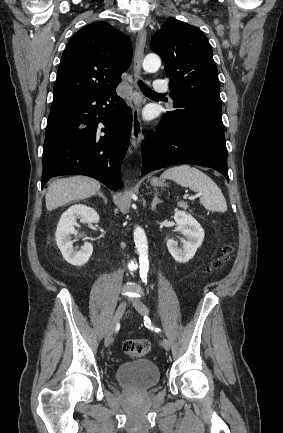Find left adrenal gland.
<instances>
[{"mask_svg":"<svg viewBox=\"0 0 283 433\" xmlns=\"http://www.w3.org/2000/svg\"><path fill=\"white\" fill-rule=\"evenodd\" d=\"M158 202H162V200H160V198H158V194H157V190H156L155 196H154V198H153V200L151 202V208H152V210H155L156 204H158Z\"/></svg>","mask_w":283,"mask_h":433,"instance_id":"a2214340","label":"left adrenal gland"}]
</instances>
